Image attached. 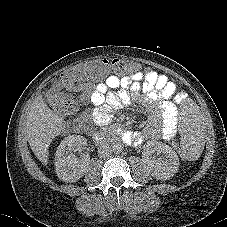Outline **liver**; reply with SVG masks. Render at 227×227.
Wrapping results in <instances>:
<instances>
[{
    "mask_svg": "<svg viewBox=\"0 0 227 227\" xmlns=\"http://www.w3.org/2000/svg\"><path fill=\"white\" fill-rule=\"evenodd\" d=\"M63 128V118L47 106L41 95L37 96L27 113L26 133L33 153L43 165L48 163L52 139Z\"/></svg>",
    "mask_w": 227,
    "mask_h": 227,
    "instance_id": "liver-1",
    "label": "liver"
}]
</instances>
